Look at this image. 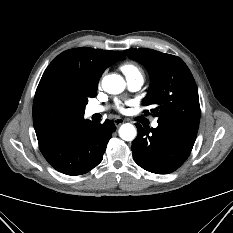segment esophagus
Masks as SVG:
<instances>
[{
    "label": "esophagus",
    "mask_w": 233,
    "mask_h": 233,
    "mask_svg": "<svg viewBox=\"0 0 233 233\" xmlns=\"http://www.w3.org/2000/svg\"><path fill=\"white\" fill-rule=\"evenodd\" d=\"M114 123L117 127H119L121 124L124 123V120L122 118H116L114 119Z\"/></svg>",
    "instance_id": "esophagus-1"
}]
</instances>
